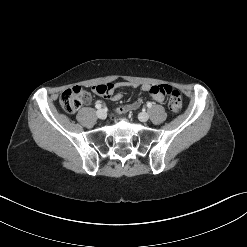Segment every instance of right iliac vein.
I'll return each mask as SVG.
<instances>
[{
	"mask_svg": "<svg viewBox=\"0 0 247 247\" xmlns=\"http://www.w3.org/2000/svg\"><path fill=\"white\" fill-rule=\"evenodd\" d=\"M96 115L99 119H105L107 114H106V111L103 110V109H99L97 112H96Z\"/></svg>",
	"mask_w": 247,
	"mask_h": 247,
	"instance_id": "63e3f726",
	"label": "right iliac vein"
}]
</instances>
